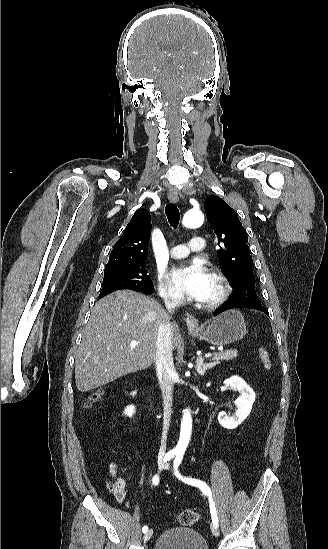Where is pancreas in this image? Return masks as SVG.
<instances>
[{
	"mask_svg": "<svg viewBox=\"0 0 328 549\" xmlns=\"http://www.w3.org/2000/svg\"><path fill=\"white\" fill-rule=\"evenodd\" d=\"M238 357L237 349H230V351H223V353H214V357L212 361L213 367L215 365H218V363H221V361H232V359H236Z\"/></svg>",
	"mask_w": 328,
	"mask_h": 549,
	"instance_id": "obj_1",
	"label": "pancreas"
}]
</instances>
